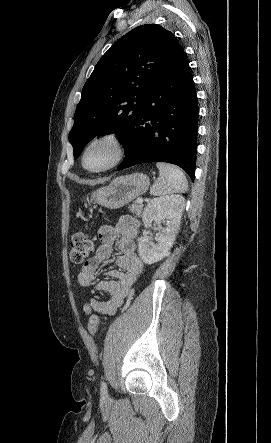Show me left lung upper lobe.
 Returning a JSON list of instances; mask_svg holds the SVG:
<instances>
[{
  "mask_svg": "<svg viewBox=\"0 0 271 443\" xmlns=\"http://www.w3.org/2000/svg\"><path fill=\"white\" fill-rule=\"evenodd\" d=\"M179 46L173 33L156 24L136 27L111 46L82 89L69 133L74 158L98 134H118L126 150L149 84Z\"/></svg>",
  "mask_w": 271,
  "mask_h": 443,
  "instance_id": "left-lung-upper-lobe-1",
  "label": "left lung upper lobe"
}]
</instances>
